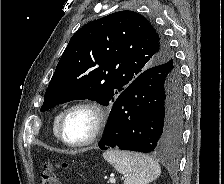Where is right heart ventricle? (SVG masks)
Here are the masks:
<instances>
[{"label":"right heart ventricle","mask_w":224,"mask_h":184,"mask_svg":"<svg viewBox=\"0 0 224 184\" xmlns=\"http://www.w3.org/2000/svg\"><path fill=\"white\" fill-rule=\"evenodd\" d=\"M61 114H62V112H58L53 119V133H54L55 137H58L57 126H58V122H59V118H60Z\"/></svg>","instance_id":"e07e8e85"}]
</instances>
